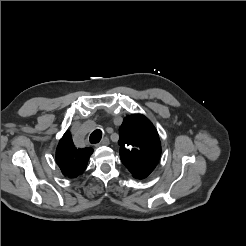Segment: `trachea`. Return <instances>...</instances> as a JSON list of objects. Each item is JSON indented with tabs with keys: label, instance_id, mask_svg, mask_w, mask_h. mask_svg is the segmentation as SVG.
<instances>
[{
	"label": "trachea",
	"instance_id": "obj_1",
	"mask_svg": "<svg viewBox=\"0 0 246 246\" xmlns=\"http://www.w3.org/2000/svg\"><path fill=\"white\" fill-rule=\"evenodd\" d=\"M102 138V131L100 129H96L90 135L89 141L91 144L99 143Z\"/></svg>",
	"mask_w": 246,
	"mask_h": 246
}]
</instances>
